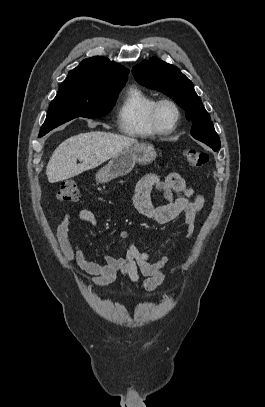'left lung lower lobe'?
Returning <instances> with one entry per match:
<instances>
[{
    "instance_id": "0a47b994",
    "label": "left lung lower lobe",
    "mask_w": 265,
    "mask_h": 407,
    "mask_svg": "<svg viewBox=\"0 0 265 407\" xmlns=\"http://www.w3.org/2000/svg\"><path fill=\"white\" fill-rule=\"evenodd\" d=\"M212 149H213L214 151H218V149H216V150H215L214 148H212Z\"/></svg>"
}]
</instances>
